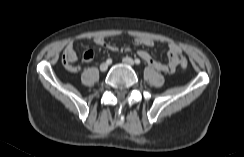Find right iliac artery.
<instances>
[{
  "label": "right iliac artery",
  "mask_w": 244,
  "mask_h": 157,
  "mask_svg": "<svg viewBox=\"0 0 244 157\" xmlns=\"http://www.w3.org/2000/svg\"><path fill=\"white\" fill-rule=\"evenodd\" d=\"M106 63L107 64H111L112 63V60L109 58V59H107Z\"/></svg>",
  "instance_id": "obj_1"
}]
</instances>
